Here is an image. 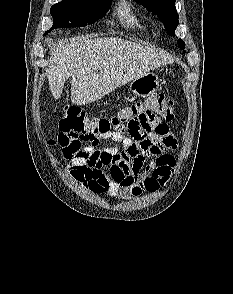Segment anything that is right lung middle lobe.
<instances>
[{"label":"right lung middle lobe","instance_id":"right-lung-middle-lobe-1","mask_svg":"<svg viewBox=\"0 0 233 294\" xmlns=\"http://www.w3.org/2000/svg\"><path fill=\"white\" fill-rule=\"evenodd\" d=\"M112 0H63L51 7L52 29L85 27L102 18L110 9Z\"/></svg>","mask_w":233,"mask_h":294}]
</instances>
